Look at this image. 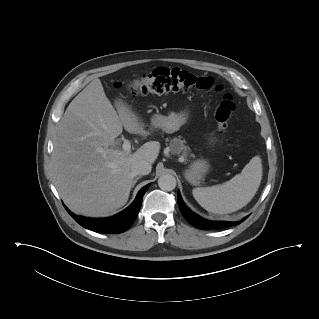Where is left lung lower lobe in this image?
Returning <instances> with one entry per match:
<instances>
[{
  "mask_svg": "<svg viewBox=\"0 0 319 319\" xmlns=\"http://www.w3.org/2000/svg\"><path fill=\"white\" fill-rule=\"evenodd\" d=\"M178 205H179L180 211H181L182 215L185 217V219L194 227H196L198 229H202V230L220 229V228H226L229 226H235V225L243 222L248 217L247 216L238 222H230V221L212 222V221L206 220V219L196 215L195 213H193L192 211H190L186 207L179 192H178Z\"/></svg>",
  "mask_w": 319,
  "mask_h": 319,
  "instance_id": "left-lung-lower-lobe-1",
  "label": "left lung lower lobe"
}]
</instances>
